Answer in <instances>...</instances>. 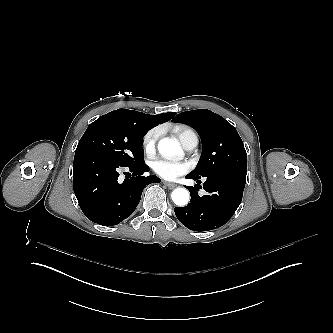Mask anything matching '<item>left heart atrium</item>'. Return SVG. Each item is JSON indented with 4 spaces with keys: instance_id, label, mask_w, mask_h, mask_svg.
I'll return each instance as SVG.
<instances>
[{
    "instance_id": "39dd6f15",
    "label": "left heart atrium",
    "mask_w": 333,
    "mask_h": 333,
    "mask_svg": "<svg viewBox=\"0 0 333 333\" xmlns=\"http://www.w3.org/2000/svg\"><path fill=\"white\" fill-rule=\"evenodd\" d=\"M190 165L187 162H174L159 160L154 164V171L159 176L173 180L189 172Z\"/></svg>"
}]
</instances>
